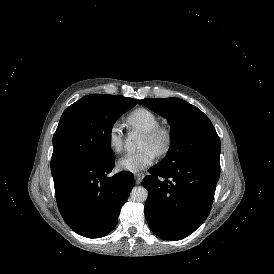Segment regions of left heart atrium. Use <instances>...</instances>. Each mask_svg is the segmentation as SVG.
Returning a JSON list of instances; mask_svg holds the SVG:
<instances>
[{"label":"left heart atrium","instance_id":"obj_1","mask_svg":"<svg viewBox=\"0 0 274 274\" xmlns=\"http://www.w3.org/2000/svg\"><path fill=\"white\" fill-rule=\"evenodd\" d=\"M156 157V153L144 147L134 152L122 154L116 162L117 168L120 171L140 172L149 167Z\"/></svg>","mask_w":274,"mask_h":274}]
</instances>
